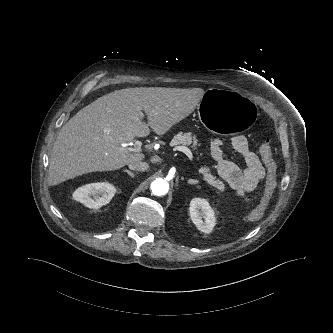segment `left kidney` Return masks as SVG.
<instances>
[{"mask_svg": "<svg viewBox=\"0 0 333 333\" xmlns=\"http://www.w3.org/2000/svg\"><path fill=\"white\" fill-rule=\"evenodd\" d=\"M189 213L192 222L198 230L203 233H210L215 226L214 211L208 201L201 198H194L190 202Z\"/></svg>", "mask_w": 333, "mask_h": 333, "instance_id": "5707ae66", "label": "left kidney"}]
</instances>
